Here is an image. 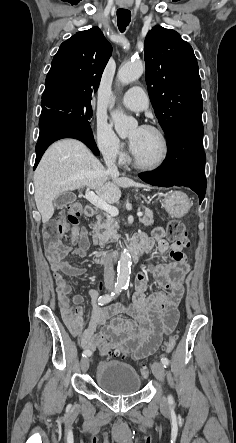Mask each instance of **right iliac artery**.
<instances>
[{"label":"right iliac artery","mask_w":236,"mask_h":443,"mask_svg":"<svg viewBox=\"0 0 236 443\" xmlns=\"http://www.w3.org/2000/svg\"><path fill=\"white\" fill-rule=\"evenodd\" d=\"M122 289H123V286H121V285L115 286L113 292H111L110 294H105V295L100 296L98 298V305L102 306L106 303H109L112 299H114L115 297H117L121 293ZM91 354H92L91 351L84 350L82 353V356L86 357V356H90Z\"/></svg>","instance_id":"obj_1"}]
</instances>
